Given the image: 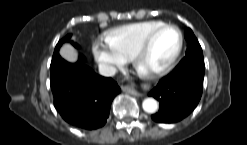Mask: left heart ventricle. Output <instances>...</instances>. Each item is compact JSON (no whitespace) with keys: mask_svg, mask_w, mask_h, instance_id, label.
<instances>
[{"mask_svg":"<svg viewBox=\"0 0 247 145\" xmlns=\"http://www.w3.org/2000/svg\"><path fill=\"white\" fill-rule=\"evenodd\" d=\"M178 43L179 37L175 29L166 28L160 31L142 58L139 70L141 72H148L165 65L174 55Z\"/></svg>","mask_w":247,"mask_h":145,"instance_id":"obj_1","label":"left heart ventricle"}]
</instances>
